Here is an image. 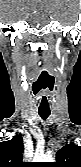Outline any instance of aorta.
<instances>
[{
	"instance_id": "1",
	"label": "aorta",
	"mask_w": 81,
	"mask_h": 167,
	"mask_svg": "<svg viewBox=\"0 0 81 167\" xmlns=\"http://www.w3.org/2000/svg\"><path fill=\"white\" fill-rule=\"evenodd\" d=\"M34 160L36 162H53V157L48 154H41V155H36Z\"/></svg>"
}]
</instances>
